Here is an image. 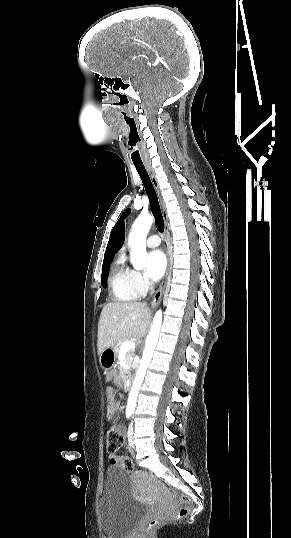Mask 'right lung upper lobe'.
Listing matches in <instances>:
<instances>
[{
  "label": "right lung upper lobe",
  "mask_w": 291,
  "mask_h": 538,
  "mask_svg": "<svg viewBox=\"0 0 291 538\" xmlns=\"http://www.w3.org/2000/svg\"><path fill=\"white\" fill-rule=\"evenodd\" d=\"M125 240L124 223L120 219L114 226L106 248L104 261L112 260L114 255L119 251Z\"/></svg>",
  "instance_id": "right-lung-upper-lobe-1"
}]
</instances>
